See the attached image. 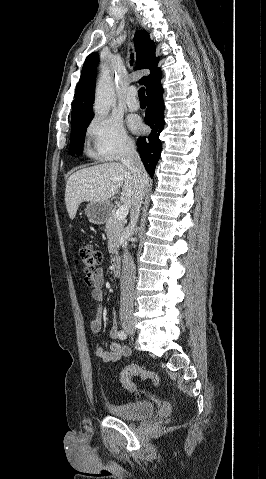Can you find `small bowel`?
<instances>
[{"instance_id":"c3829d8e","label":"small bowel","mask_w":266,"mask_h":479,"mask_svg":"<svg viewBox=\"0 0 266 479\" xmlns=\"http://www.w3.org/2000/svg\"><path fill=\"white\" fill-rule=\"evenodd\" d=\"M90 285L92 286L91 295L92 298L101 302L104 297L103 285L105 282L104 272L102 269H97L89 277ZM89 329L93 333H99L103 329V308L101 305L98 306L96 313L89 321ZM110 335L112 338L118 336L117 324L114 321ZM130 354V349L127 346L121 345L117 342H112L110 344V349L108 351L104 350L101 346H98L95 351L96 357L102 362H116L124 356Z\"/></svg>"}]
</instances>
